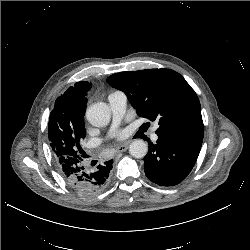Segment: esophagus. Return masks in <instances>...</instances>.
Segmentation results:
<instances>
[{
  "mask_svg": "<svg viewBox=\"0 0 250 250\" xmlns=\"http://www.w3.org/2000/svg\"><path fill=\"white\" fill-rule=\"evenodd\" d=\"M128 146H129V143H124V144L118 145V146L116 147V150H117L118 152H123V151H126V150H127Z\"/></svg>",
  "mask_w": 250,
  "mask_h": 250,
  "instance_id": "34e87169",
  "label": "esophagus"
}]
</instances>
